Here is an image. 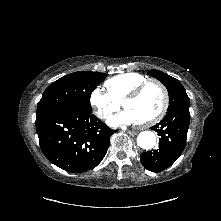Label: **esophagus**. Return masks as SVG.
<instances>
[{
    "instance_id": "esophagus-1",
    "label": "esophagus",
    "mask_w": 221,
    "mask_h": 221,
    "mask_svg": "<svg viewBox=\"0 0 221 221\" xmlns=\"http://www.w3.org/2000/svg\"><path fill=\"white\" fill-rule=\"evenodd\" d=\"M128 133H129V135H131V136H135V135L137 134V132H135V131H128Z\"/></svg>"
}]
</instances>
